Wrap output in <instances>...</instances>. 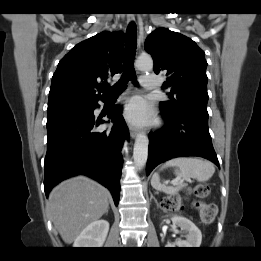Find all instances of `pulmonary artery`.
Wrapping results in <instances>:
<instances>
[{"label": "pulmonary artery", "mask_w": 261, "mask_h": 261, "mask_svg": "<svg viewBox=\"0 0 261 261\" xmlns=\"http://www.w3.org/2000/svg\"><path fill=\"white\" fill-rule=\"evenodd\" d=\"M142 86L146 89H156L159 86V78L155 75H143L140 77Z\"/></svg>", "instance_id": "1"}]
</instances>
